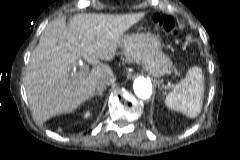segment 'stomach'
<instances>
[{
  "instance_id": "stomach-1",
  "label": "stomach",
  "mask_w": 240,
  "mask_h": 160,
  "mask_svg": "<svg viewBox=\"0 0 240 160\" xmlns=\"http://www.w3.org/2000/svg\"><path fill=\"white\" fill-rule=\"evenodd\" d=\"M128 59L141 61L144 68L155 77L169 73L171 61L161 50L159 39L150 33H137L124 37L121 44Z\"/></svg>"
}]
</instances>
